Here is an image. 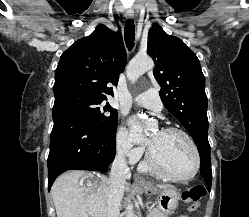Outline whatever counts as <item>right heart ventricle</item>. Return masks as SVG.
<instances>
[{
  "instance_id": "1",
  "label": "right heart ventricle",
  "mask_w": 249,
  "mask_h": 217,
  "mask_svg": "<svg viewBox=\"0 0 249 217\" xmlns=\"http://www.w3.org/2000/svg\"><path fill=\"white\" fill-rule=\"evenodd\" d=\"M141 168H142V170L145 171V172L150 171V169H149V167H148V165H147L146 163H144V164L142 165Z\"/></svg>"
}]
</instances>
